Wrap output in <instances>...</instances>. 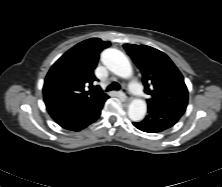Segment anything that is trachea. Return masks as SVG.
I'll use <instances>...</instances> for the list:
<instances>
[{
  "label": "trachea",
  "mask_w": 222,
  "mask_h": 187,
  "mask_svg": "<svg viewBox=\"0 0 222 187\" xmlns=\"http://www.w3.org/2000/svg\"><path fill=\"white\" fill-rule=\"evenodd\" d=\"M119 89L120 85L117 82H113L107 87L106 91L119 90Z\"/></svg>",
  "instance_id": "obj_1"
}]
</instances>
